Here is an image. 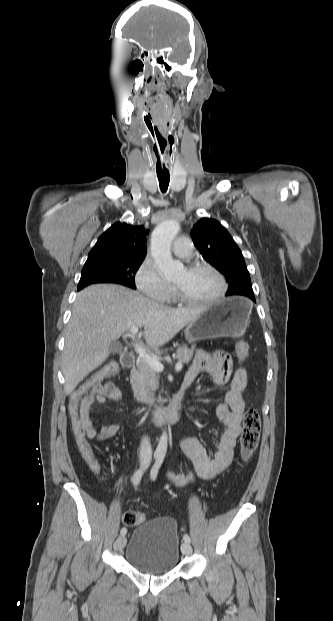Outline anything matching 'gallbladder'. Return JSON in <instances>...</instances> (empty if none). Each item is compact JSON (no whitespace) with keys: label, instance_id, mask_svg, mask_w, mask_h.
Returning a JSON list of instances; mask_svg holds the SVG:
<instances>
[{"label":"gallbladder","instance_id":"gallbladder-1","mask_svg":"<svg viewBox=\"0 0 333 621\" xmlns=\"http://www.w3.org/2000/svg\"><path fill=\"white\" fill-rule=\"evenodd\" d=\"M123 350V347L120 343L118 342H112L110 345V351L112 354H120Z\"/></svg>","mask_w":333,"mask_h":621}]
</instances>
